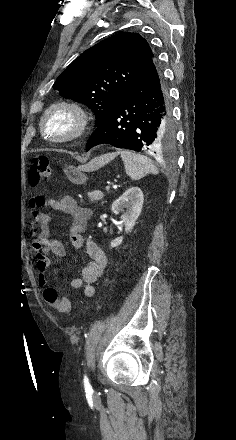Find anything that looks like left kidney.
I'll use <instances>...</instances> for the list:
<instances>
[{"label":"left kidney","mask_w":236,"mask_h":440,"mask_svg":"<svg viewBox=\"0 0 236 440\" xmlns=\"http://www.w3.org/2000/svg\"><path fill=\"white\" fill-rule=\"evenodd\" d=\"M144 202L143 192L139 187H131L123 193L121 197L112 204V212L114 214L122 213L121 219L125 225V232H131L136 220L141 214ZM126 209V210H124ZM123 241V237H117L111 241L110 246L117 247Z\"/></svg>","instance_id":"1"}]
</instances>
